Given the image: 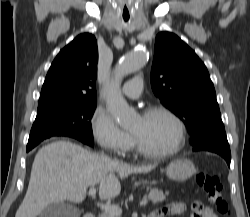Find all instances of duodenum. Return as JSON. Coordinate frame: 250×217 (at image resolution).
<instances>
[{"label": "duodenum", "instance_id": "obj_1", "mask_svg": "<svg viewBox=\"0 0 250 217\" xmlns=\"http://www.w3.org/2000/svg\"><path fill=\"white\" fill-rule=\"evenodd\" d=\"M84 217H96V214L94 213V211H87ZM148 217H159V214L157 211H155L151 213Z\"/></svg>", "mask_w": 250, "mask_h": 217}]
</instances>
